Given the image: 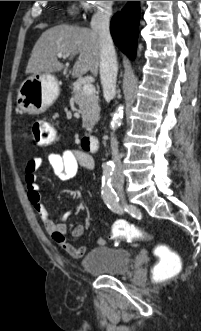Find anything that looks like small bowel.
<instances>
[{"mask_svg": "<svg viewBox=\"0 0 201 331\" xmlns=\"http://www.w3.org/2000/svg\"><path fill=\"white\" fill-rule=\"evenodd\" d=\"M47 161L54 174L61 180H69L73 178L79 166L88 170L94 169V161L92 157L89 154L76 149L67 148L63 149L61 152L49 153ZM43 164L44 160L40 157L31 158L26 162L24 167V178L28 199L44 224L46 231L52 235L56 244L71 257L80 258L85 254L86 247H76L72 245L67 241L65 236L67 229L64 221L71 215V211L66 212L61 221L56 222L50 217L42 202L40 188L37 183V171L43 166ZM84 232V226L77 225L72 230V236L78 238L83 236ZM98 243L104 244V238H99Z\"/></svg>", "mask_w": 201, "mask_h": 331, "instance_id": "c3829d8e", "label": "small bowel"}]
</instances>
